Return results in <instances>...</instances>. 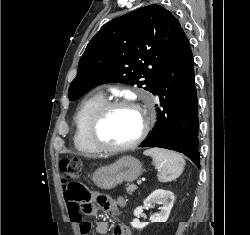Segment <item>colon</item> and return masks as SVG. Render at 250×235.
Masks as SVG:
<instances>
[{
    "mask_svg": "<svg viewBox=\"0 0 250 235\" xmlns=\"http://www.w3.org/2000/svg\"><path fill=\"white\" fill-rule=\"evenodd\" d=\"M81 167L82 164L79 159H62L60 161V171L67 183L68 197L77 203V209L89 211L92 207L89 203L88 192L85 186L79 182Z\"/></svg>",
    "mask_w": 250,
    "mask_h": 235,
    "instance_id": "colon-1",
    "label": "colon"
}]
</instances>
